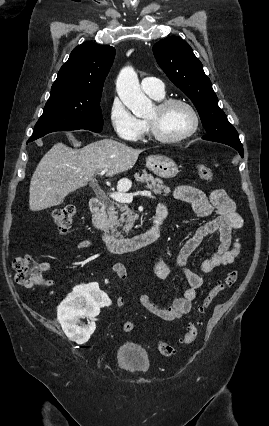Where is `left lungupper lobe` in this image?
I'll return each mask as SVG.
<instances>
[{
	"label": "left lung upper lobe",
	"instance_id": "5c2ea615",
	"mask_svg": "<svg viewBox=\"0 0 269 426\" xmlns=\"http://www.w3.org/2000/svg\"><path fill=\"white\" fill-rule=\"evenodd\" d=\"M157 63L168 78L194 103L209 141L240 142L236 129L218 106L217 96L202 63L187 42L177 36L167 37L153 46Z\"/></svg>",
	"mask_w": 269,
	"mask_h": 426
}]
</instances>
